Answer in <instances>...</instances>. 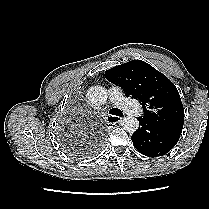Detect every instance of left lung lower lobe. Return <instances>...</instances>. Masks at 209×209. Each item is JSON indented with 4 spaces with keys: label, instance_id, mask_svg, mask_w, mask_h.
<instances>
[{
    "label": "left lung lower lobe",
    "instance_id": "left-lung-lower-lobe-1",
    "mask_svg": "<svg viewBox=\"0 0 209 209\" xmlns=\"http://www.w3.org/2000/svg\"><path fill=\"white\" fill-rule=\"evenodd\" d=\"M139 128L132 135L134 147L148 157L163 156L178 142L181 132L164 129L141 117Z\"/></svg>",
    "mask_w": 209,
    "mask_h": 209
}]
</instances>
